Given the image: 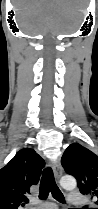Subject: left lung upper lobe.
Here are the masks:
<instances>
[{"mask_svg":"<svg viewBox=\"0 0 98 209\" xmlns=\"http://www.w3.org/2000/svg\"><path fill=\"white\" fill-rule=\"evenodd\" d=\"M61 163L66 173L77 179L80 192L90 195L98 206V156L82 145L73 143L65 150Z\"/></svg>","mask_w":98,"mask_h":209,"instance_id":"obj_1","label":"left lung upper lobe"}]
</instances>
